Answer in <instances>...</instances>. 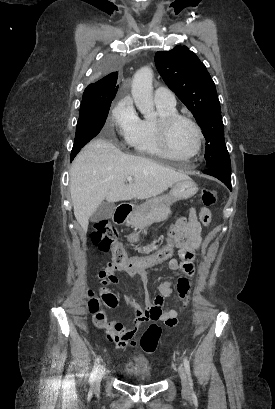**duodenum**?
<instances>
[{
  "label": "duodenum",
  "mask_w": 275,
  "mask_h": 409,
  "mask_svg": "<svg viewBox=\"0 0 275 409\" xmlns=\"http://www.w3.org/2000/svg\"><path fill=\"white\" fill-rule=\"evenodd\" d=\"M132 211V206L127 203L120 204L115 213H114V221L117 224H123L127 221L130 213Z\"/></svg>",
  "instance_id": "obj_1"
}]
</instances>
